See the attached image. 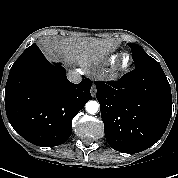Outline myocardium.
Wrapping results in <instances>:
<instances>
[{"label": "myocardium", "mask_w": 178, "mask_h": 178, "mask_svg": "<svg viewBox=\"0 0 178 178\" xmlns=\"http://www.w3.org/2000/svg\"><path fill=\"white\" fill-rule=\"evenodd\" d=\"M127 56L129 58L128 63H124V58ZM133 65V58L129 53H123L120 55L119 59L115 63L114 67L112 68L110 75L113 78L123 75L124 73L128 72Z\"/></svg>", "instance_id": "myocardium-1"}]
</instances>
